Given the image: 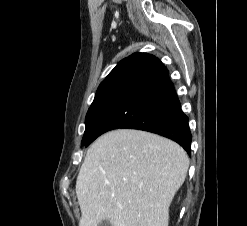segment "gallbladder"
Here are the masks:
<instances>
[{
	"label": "gallbladder",
	"instance_id": "bac80fb5",
	"mask_svg": "<svg viewBox=\"0 0 247 226\" xmlns=\"http://www.w3.org/2000/svg\"><path fill=\"white\" fill-rule=\"evenodd\" d=\"M99 226H112L109 220H103Z\"/></svg>",
	"mask_w": 247,
	"mask_h": 226
}]
</instances>
